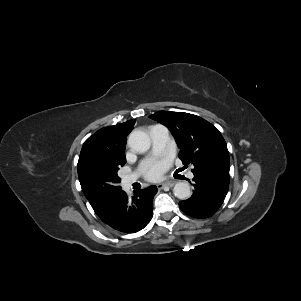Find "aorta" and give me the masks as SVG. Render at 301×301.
<instances>
[{"instance_id": "obj_1", "label": "aorta", "mask_w": 301, "mask_h": 301, "mask_svg": "<svg viewBox=\"0 0 301 301\" xmlns=\"http://www.w3.org/2000/svg\"><path fill=\"white\" fill-rule=\"evenodd\" d=\"M130 148L136 152H146L151 145L148 134L143 131L134 130L130 133L128 138ZM174 195L179 199H188L191 196V189L188 183L178 182L173 188Z\"/></svg>"}]
</instances>
